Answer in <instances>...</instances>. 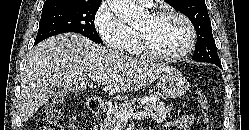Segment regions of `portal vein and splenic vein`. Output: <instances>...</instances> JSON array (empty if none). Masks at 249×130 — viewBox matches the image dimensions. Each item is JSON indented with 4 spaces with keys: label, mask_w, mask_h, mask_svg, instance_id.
Returning <instances> with one entry per match:
<instances>
[{
    "label": "portal vein and splenic vein",
    "mask_w": 249,
    "mask_h": 130,
    "mask_svg": "<svg viewBox=\"0 0 249 130\" xmlns=\"http://www.w3.org/2000/svg\"><path fill=\"white\" fill-rule=\"evenodd\" d=\"M95 83L99 84L101 83V80L94 79ZM116 116L119 118L121 122H126L129 119H144L148 117L147 112H137V113H128V112H117Z\"/></svg>",
    "instance_id": "portal-vein-and-splenic-vein-1"
}]
</instances>
